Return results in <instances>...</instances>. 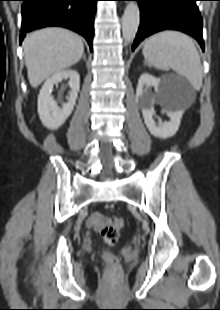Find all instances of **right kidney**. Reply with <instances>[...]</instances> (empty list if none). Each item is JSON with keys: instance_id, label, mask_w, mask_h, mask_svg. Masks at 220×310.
Instances as JSON below:
<instances>
[{"instance_id": "1", "label": "right kidney", "mask_w": 220, "mask_h": 310, "mask_svg": "<svg viewBox=\"0 0 220 310\" xmlns=\"http://www.w3.org/2000/svg\"><path fill=\"white\" fill-rule=\"evenodd\" d=\"M64 79H69L71 91L67 97V103L59 107L54 101L51 93L53 86ZM80 88V76L76 70L66 69L55 73L46 80L38 96V114L42 124L55 130L62 126L72 113Z\"/></svg>"}]
</instances>
